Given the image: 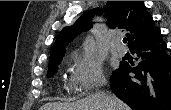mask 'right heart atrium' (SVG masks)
<instances>
[{
    "label": "right heart atrium",
    "mask_w": 171,
    "mask_h": 110,
    "mask_svg": "<svg viewBox=\"0 0 171 110\" xmlns=\"http://www.w3.org/2000/svg\"><path fill=\"white\" fill-rule=\"evenodd\" d=\"M71 80L77 89L90 92L105 83V76L100 62L91 56L74 54Z\"/></svg>",
    "instance_id": "d8ad5b80"
}]
</instances>
